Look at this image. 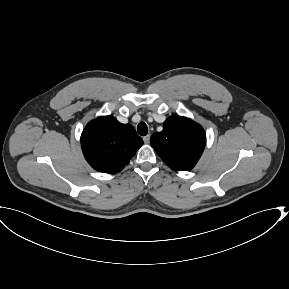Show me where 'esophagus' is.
<instances>
[{"mask_svg":"<svg viewBox=\"0 0 289 289\" xmlns=\"http://www.w3.org/2000/svg\"><path fill=\"white\" fill-rule=\"evenodd\" d=\"M143 141L145 144H148L150 142V135H146L143 137Z\"/></svg>","mask_w":289,"mask_h":289,"instance_id":"34e87169","label":"esophagus"}]
</instances>
